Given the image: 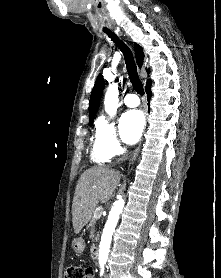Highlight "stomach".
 <instances>
[{"mask_svg": "<svg viewBox=\"0 0 221 278\" xmlns=\"http://www.w3.org/2000/svg\"><path fill=\"white\" fill-rule=\"evenodd\" d=\"M72 248L76 253H82L85 248L84 241L82 240V238L74 239V241L72 242Z\"/></svg>", "mask_w": 221, "mask_h": 278, "instance_id": "1", "label": "stomach"}]
</instances>
